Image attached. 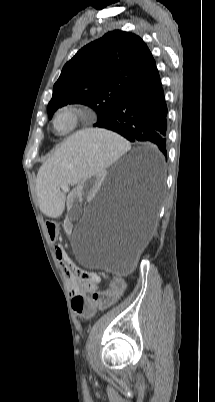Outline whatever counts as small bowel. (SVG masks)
Listing matches in <instances>:
<instances>
[{
    "label": "small bowel",
    "mask_w": 215,
    "mask_h": 402,
    "mask_svg": "<svg viewBox=\"0 0 215 402\" xmlns=\"http://www.w3.org/2000/svg\"><path fill=\"white\" fill-rule=\"evenodd\" d=\"M55 252H56L57 258L61 262L68 261V256H67L64 248L61 245H59V244L55 245ZM63 272H64L66 282L68 284V287L70 289V293L74 297H76L78 295L85 296V294L87 292L96 290L100 283V277L95 273L93 274L92 278L83 279L82 277H80L76 273L70 271L69 269L64 268Z\"/></svg>",
    "instance_id": "c3829d8e"
}]
</instances>
